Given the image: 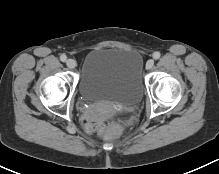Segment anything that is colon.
<instances>
[{"instance_id": "colon-1", "label": "colon", "mask_w": 219, "mask_h": 174, "mask_svg": "<svg viewBox=\"0 0 219 174\" xmlns=\"http://www.w3.org/2000/svg\"><path fill=\"white\" fill-rule=\"evenodd\" d=\"M86 130L89 133H97L100 136L111 140L121 133L122 125L117 121L111 122L108 125H105L102 122H88L86 124Z\"/></svg>"}]
</instances>
